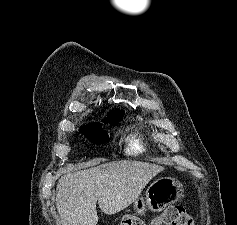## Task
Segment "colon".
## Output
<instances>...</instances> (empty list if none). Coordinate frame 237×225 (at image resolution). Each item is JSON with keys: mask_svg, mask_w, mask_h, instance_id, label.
<instances>
[{"mask_svg": "<svg viewBox=\"0 0 237 225\" xmlns=\"http://www.w3.org/2000/svg\"><path fill=\"white\" fill-rule=\"evenodd\" d=\"M119 225H147L146 222L134 215L126 216ZM149 225H195L194 218L188 214L182 206L167 208L157 217L153 218Z\"/></svg>", "mask_w": 237, "mask_h": 225, "instance_id": "1", "label": "colon"}]
</instances>
